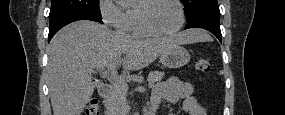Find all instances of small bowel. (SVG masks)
I'll list each match as a JSON object with an SVG mask.
<instances>
[{"label": "small bowel", "instance_id": "obj_1", "mask_svg": "<svg viewBox=\"0 0 285 115\" xmlns=\"http://www.w3.org/2000/svg\"><path fill=\"white\" fill-rule=\"evenodd\" d=\"M176 103L182 101L183 109L188 115H207V109L193 95L190 82L177 78H169L158 83L153 91L150 107L155 111L163 102Z\"/></svg>", "mask_w": 285, "mask_h": 115}]
</instances>
